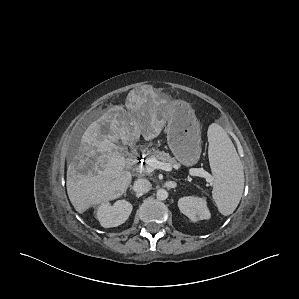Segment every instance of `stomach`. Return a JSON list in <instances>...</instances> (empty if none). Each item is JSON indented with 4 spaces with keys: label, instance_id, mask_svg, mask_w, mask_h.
Returning <instances> with one entry per match:
<instances>
[{
    "label": "stomach",
    "instance_id": "0dacf381",
    "mask_svg": "<svg viewBox=\"0 0 299 299\" xmlns=\"http://www.w3.org/2000/svg\"><path fill=\"white\" fill-rule=\"evenodd\" d=\"M159 110L167 120V141L173 155L182 165H195L201 155L202 141L194 110L180 99L165 102Z\"/></svg>",
    "mask_w": 299,
    "mask_h": 299
}]
</instances>
